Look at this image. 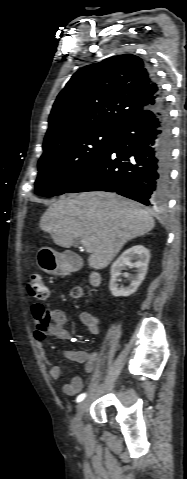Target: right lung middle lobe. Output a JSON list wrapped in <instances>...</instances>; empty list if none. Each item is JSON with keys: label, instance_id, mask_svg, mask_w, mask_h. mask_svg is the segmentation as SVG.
Wrapping results in <instances>:
<instances>
[{"label": "right lung middle lobe", "instance_id": "obj_1", "mask_svg": "<svg viewBox=\"0 0 187 479\" xmlns=\"http://www.w3.org/2000/svg\"><path fill=\"white\" fill-rule=\"evenodd\" d=\"M120 129L90 128L43 145L36 194L61 195L112 145Z\"/></svg>", "mask_w": 187, "mask_h": 479}]
</instances>
